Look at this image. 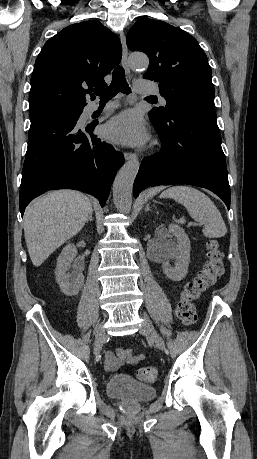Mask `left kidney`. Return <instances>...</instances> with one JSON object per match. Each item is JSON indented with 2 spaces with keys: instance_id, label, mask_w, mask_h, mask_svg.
I'll return each mask as SVG.
<instances>
[{
  "instance_id": "left-kidney-1",
  "label": "left kidney",
  "mask_w": 257,
  "mask_h": 459,
  "mask_svg": "<svg viewBox=\"0 0 257 459\" xmlns=\"http://www.w3.org/2000/svg\"><path fill=\"white\" fill-rule=\"evenodd\" d=\"M173 234L177 243L167 241L165 238ZM161 242L159 244V254L162 261L164 274L173 281H181L188 272L190 263V240L184 229L176 224H170L167 229L160 232ZM170 259H176V264L172 267Z\"/></svg>"
}]
</instances>
